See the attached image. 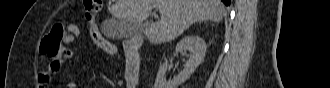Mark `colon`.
I'll return each instance as SVG.
<instances>
[{
	"instance_id": "5ec220e1",
	"label": "colon",
	"mask_w": 330,
	"mask_h": 88,
	"mask_svg": "<svg viewBox=\"0 0 330 88\" xmlns=\"http://www.w3.org/2000/svg\"><path fill=\"white\" fill-rule=\"evenodd\" d=\"M101 8V1L98 0H87L84 2L83 10L86 19L90 23V34L94 44L103 50L115 51V46L109 41L104 39L100 33L97 31L94 20L98 16ZM66 35L65 25L58 24L51 28V30L46 34L42 40L41 51L46 56L55 60L61 56L63 45L62 40Z\"/></svg>"
}]
</instances>
